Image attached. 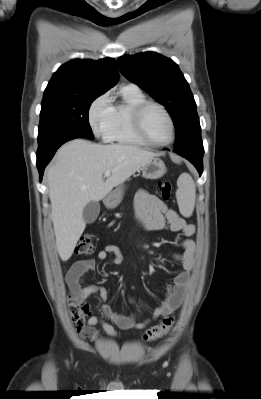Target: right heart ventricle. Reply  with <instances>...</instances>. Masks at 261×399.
<instances>
[{"mask_svg": "<svg viewBox=\"0 0 261 399\" xmlns=\"http://www.w3.org/2000/svg\"><path fill=\"white\" fill-rule=\"evenodd\" d=\"M121 100L112 104L111 127L107 140L129 145H147L135 134L131 113L135 106L146 101L142 91L134 88L123 87L120 91Z\"/></svg>", "mask_w": 261, "mask_h": 399, "instance_id": "1", "label": "right heart ventricle"}]
</instances>
